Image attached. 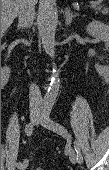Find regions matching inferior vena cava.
<instances>
[{
	"instance_id": "1",
	"label": "inferior vena cava",
	"mask_w": 109,
	"mask_h": 170,
	"mask_svg": "<svg viewBox=\"0 0 109 170\" xmlns=\"http://www.w3.org/2000/svg\"><path fill=\"white\" fill-rule=\"evenodd\" d=\"M34 0H21L19 12V27H29L33 24L35 17ZM29 99L31 108H42L43 100L39 87L32 83L29 88Z\"/></svg>"
}]
</instances>
